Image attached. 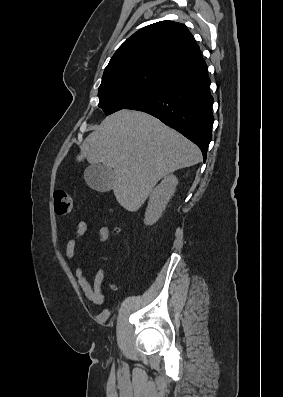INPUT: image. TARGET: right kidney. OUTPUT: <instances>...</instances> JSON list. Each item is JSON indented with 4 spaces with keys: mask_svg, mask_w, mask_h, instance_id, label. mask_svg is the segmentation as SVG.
<instances>
[{
    "mask_svg": "<svg viewBox=\"0 0 283 397\" xmlns=\"http://www.w3.org/2000/svg\"><path fill=\"white\" fill-rule=\"evenodd\" d=\"M177 185V177L173 174H168L151 191L144 219L146 225H153L161 217Z\"/></svg>",
    "mask_w": 283,
    "mask_h": 397,
    "instance_id": "obj_1",
    "label": "right kidney"
}]
</instances>
